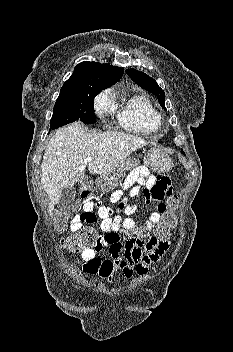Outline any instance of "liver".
I'll use <instances>...</instances> for the list:
<instances>
[{"label":"liver","mask_w":233,"mask_h":352,"mask_svg":"<svg viewBox=\"0 0 233 352\" xmlns=\"http://www.w3.org/2000/svg\"><path fill=\"white\" fill-rule=\"evenodd\" d=\"M147 144L140 137L122 132L87 131L80 122L58 130L50 139L41 164V183L50 199L49 212L59 202L62 190L73 187L85 176L86 167L91 174H106ZM86 157L93 159L85 163Z\"/></svg>","instance_id":"1"}]
</instances>
